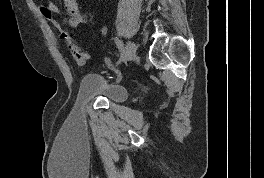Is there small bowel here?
<instances>
[{"instance_id": "1", "label": "small bowel", "mask_w": 264, "mask_h": 178, "mask_svg": "<svg viewBox=\"0 0 264 178\" xmlns=\"http://www.w3.org/2000/svg\"><path fill=\"white\" fill-rule=\"evenodd\" d=\"M62 1L63 11L51 0H46L44 6L47 7L52 14L62 15L64 22L72 28L79 27L87 22V14L80 11L77 0Z\"/></svg>"}]
</instances>
